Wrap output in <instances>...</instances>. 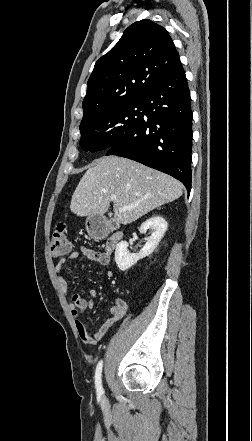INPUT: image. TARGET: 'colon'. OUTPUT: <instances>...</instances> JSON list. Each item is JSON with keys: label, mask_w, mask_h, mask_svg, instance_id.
Returning <instances> with one entry per match:
<instances>
[{"label": "colon", "mask_w": 252, "mask_h": 441, "mask_svg": "<svg viewBox=\"0 0 252 441\" xmlns=\"http://www.w3.org/2000/svg\"><path fill=\"white\" fill-rule=\"evenodd\" d=\"M54 257H63L69 254L71 243L68 240L63 225H60L53 234L50 245Z\"/></svg>", "instance_id": "obj_1"}]
</instances>
